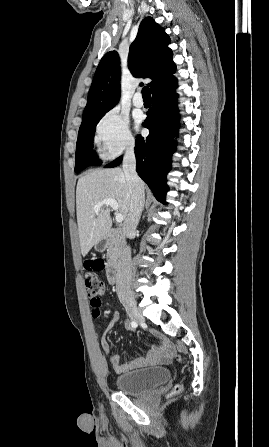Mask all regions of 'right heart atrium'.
I'll list each match as a JSON object with an SVG mask.
<instances>
[{
    "label": "right heart atrium",
    "mask_w": 269,
    "mask_h": 447,
    "mask_svg": "<svg viewBox=\"0 0 269 447\" xmlns=\"http://www.w3.org/2000/svg\"><path fill=\"white\" fill-rule=\"evenodd\" d=\"M94 142L103 158L112 159L124 150L132 149L135 138L130 130L128 116L114 107L108 110L98 121Z\"/></svg>",
    "instance_id": "obj_1"
}]
</instances>
